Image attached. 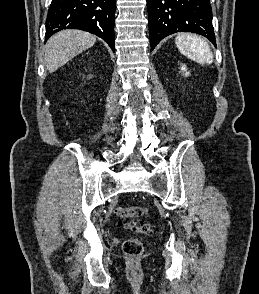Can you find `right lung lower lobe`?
Segmentation results:
<instances>
[{
  "label": "right lung lower lobe",
  "instance_id": "right-lung-lower-lobe-1",
  "mask_svg": "<svg viewBox=\"0 0 259 294\" xmlns=\"http://www.w3.org/2000/svg\"><path fill=\"white\" fill-rule=\"evenodd\" d=\"M116 0H52L45 41L62 29H80L104 39L112 51Z\"/></svg>",
  "mask_w": 259,
  "mask_h": 294
}]
</instances>
